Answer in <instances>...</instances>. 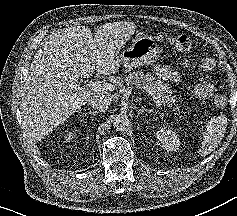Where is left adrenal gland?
Instances as JSON below:
<instances>
[{
	"instance_id": "1",
	"label": "left adrenal gland",
	"mask_w": 237,
	"mask_h": 216,
	"mask_svg": "<svg viewBox=\"0 0 237 216\" xmlns=\"http://www.w3.org/2000/svg\"><path fill=\"white\" fill-rule=\"evenodd\" d=\"M138 110V115L141 116L145 113V110H142V109H139V108H136Z\"/></svg>"
}]
</instances>
